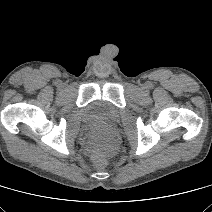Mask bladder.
I'll use <instances>...</instances> for the list:
<instances>
[{
    "label": "bladder",
    "instance_id": "31cf9c89",
    "mask_svg": "<svg viewBox=\"0 0 212 212\" xmlns=\"http://www.w3.org/2000/svg\"><path fill=\"white\" fill-rule=\"evenodd\" d=\"M120 119L119 110L112 104L95 100L89 103L83 113V120L87 126L113 125Z\"/></svg>",
    "mask_w": 212,
    "mask_h": 212
}]
</instances>
